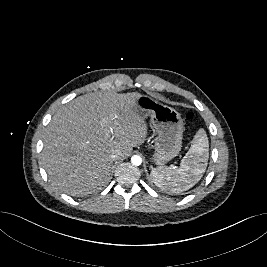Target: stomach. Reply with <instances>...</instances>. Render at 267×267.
<instances>
[{
  "label": "stomach",
  "mask_w": 267,
  "mask_h": 267,
  "mask_svg": "<svg viewBox=\"0 0 267 267\" xmlns=\"http://www.w3.org/2000/svg\"><path fill=\"white\" fill-rule=\"evenodd\" d=\"M136 107L144 120L150 118L158 134L152 160L156 165L163 166L181 150L183 120L176 110L146 95L137 98Z\"/></svg>",
  "instance_id": "stomach-1"
}]
</instances>
